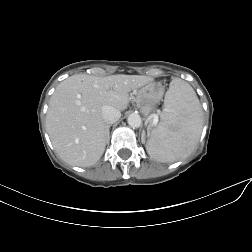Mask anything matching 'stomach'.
Instances as JSON below:
<instances>
[{"label":"stomach","mask_w":252,"mask_h":252,"mask_svg":"<svg viewBox=\"0 0 252 252\" xmlns=\"http://www.w3.org/2000/svg\"><path fill=\"white\" fill-rule=\"evenodd\" d=\"M163 94L164 87L160 83L150 82L137 90L136 101L142 112L148 115L162 99Z\"/></svg>","instance_id":"stomach-1"}]
</instances>
